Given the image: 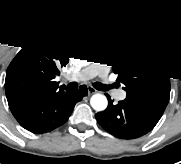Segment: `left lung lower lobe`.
<instances>
[{
  "label": "left lung lower lobe",
  "mask_w": 181,
  "mask_h": 164,
  "mask_svg": "<svg viewBox=\"0 0 181 164\" xmlns=\"http://www.w3.org/2000/svg\"><path fill=\"white\" fill-rule=\"evenodd\" d=\"M109 105L95 114L98 123L117 138L134 139L150 132L160 120L164 108L152 104L126 98L113 104L108 94Z\"/></svg>",
  "instance_id": "0a47b994"
}]
</instances>
